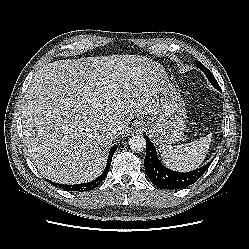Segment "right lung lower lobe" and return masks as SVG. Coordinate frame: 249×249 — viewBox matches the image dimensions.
Listing matches in <instances>:
<instances>
[{
  "label": "right lung lower lobe",
  "mask_w": 249,
  "mask_h": 249,
  "mask_svg": "<svg viewBox=\"0 0 249 249\" xmlns=\"http://www.w3.org/2000/svg\"><path fill=\"white\" fill-rule=\"evenodd\" d=\"M116 149H117V145L113 146L110 149L106 168L103 171V173L95 180H93L91 182L83 183V184H76V185H64V184H57V183H53V182H51V183L54 186H57L59 188H62L64 190H69V191H88V190L96 188L105 179L106 175L108 174V171H109V168L111 165L112 156L115 153Z\"/></svg>",
  "instance_id": "1"
}]
</instances>
